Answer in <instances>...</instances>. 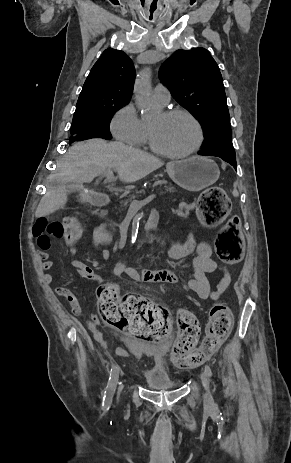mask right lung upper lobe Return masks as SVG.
<instances>
[{
    "mask_svg": "<svg viewBox=\"0 0 291 463\" xmlns=\"http://www.w3.org/2000/svg\"><path fill=\"white\" fill-rule=\"evenodd\" d=\"M135 69L123 51L106 49L92 67L79 95L74 115L97 110L107 101L128 103Z\"/></svg>",
    "mask_w": 291,
    "mask_h": 463,
    "instance_id": "cb5924a9",
    "label": "right lung upper lobe"
}]
</instances>
